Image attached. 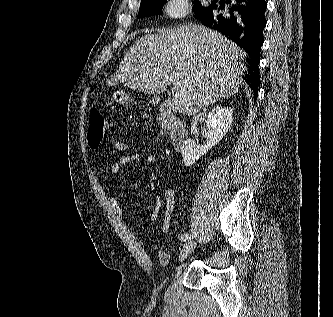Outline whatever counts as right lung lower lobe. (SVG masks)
Listing matches in <instances>:
<instances>
[{
    "label": "right lung lower lobe",
    "mask_w": 333,
    "mask_h": 317,
    "mask_svg": "<svg viewBox=\"0 0 333 317\" xmlns=\"http://www.w3.org/2000/svg\"><path fill=\"white\" fill-rule=\"evenodd\" d=\"M231 8L224 10L211 4L198 14L199 20L207 27L223 33L243 48L248 54V72L244 79L254 93L256 100L260 84L259 60L263 44V30L266 26L265 0H230Z\"/></svg>",
    "instance_id": "98d812e1"
}]
</instances>
